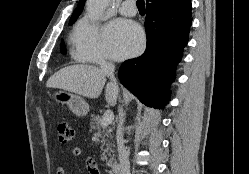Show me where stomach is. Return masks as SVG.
Returning <instances> with one entry per match:
<instances>
[{"mask_svg":"<svg viewBox=\"0 0 249 174\" xmlns=\"http://www.w3.org/2000/svg\"><path fill=\"white\" fill-rule=\"evenodd\" d=\"M54 100L62 105L66 104L70 110L77 116H85L89 112L87 102L78 95L72 94L65 90H59L53 95Z\"/></svg>","mask_w":249,"mask_h":174,"instance_id":"0dacf381","label":"stomach"}]
</instances>
